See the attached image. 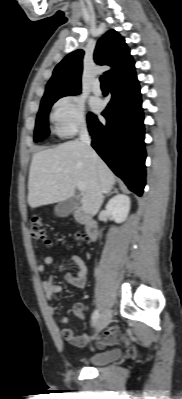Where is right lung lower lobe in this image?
Returning <instances> with one entry per match:
<instances>
[{
  "label": "right lung lower lobe",
  "mask_w": 182,
  "mask_h": 399,
  "mask_svg": "<svg viewBox=\"0 0 182 399\" xmlns=\"http://www.w3.org/2000/svg\"><path fill=\"white\" fill-rule=\"evenodd\" d=\"M111 84L112 98L102 112L106 124L89 114L92 147L128 188L141 196L145 186V144L140 87L135 72Z\"/></svg>",
  "instance_id": "1"
}]
</instances>
